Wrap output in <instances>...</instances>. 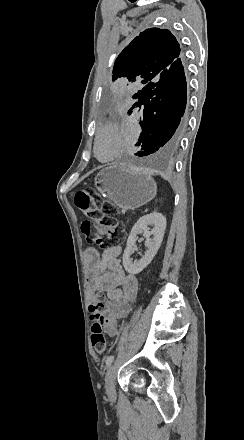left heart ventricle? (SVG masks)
<instances>
[{
    "label": "left heart ventricle",
    "instance_id": "obj_1",
    "mask_svg": "<svg viewBox=\"0 0 244 440\" xmlns=\"http://www.w3.org/2000/svg\"><path fill=\"white\" fill-rule=\"evenodd\" d=\"M110 138L108 134H103L99 139V151L101 156H105L107 154V148L109 144Z\"/></svg>",
    "mask_w": 244,
    "mask_h": 440
}]
</instances>
